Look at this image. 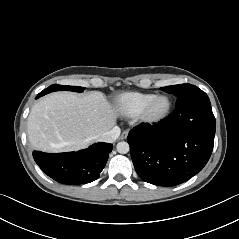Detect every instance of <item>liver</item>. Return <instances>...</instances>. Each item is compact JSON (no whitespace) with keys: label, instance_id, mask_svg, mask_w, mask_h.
<instances>
[{"label":"liver","instance_id":"liver-1","mask_svg":"<svg viewBox=\"0 0 239 239\" xmlns=\"http://www.w3.org/2000/svg\"><path fill=\"white\" fill-rule=\"evenodd\" d=\"M117 117L118 110L102 92H57L32 107L27 132L36 149L47 152L77 150L111 130Z\"/></svg>","mask_w":239,"mask_h":239}]
</instances>
